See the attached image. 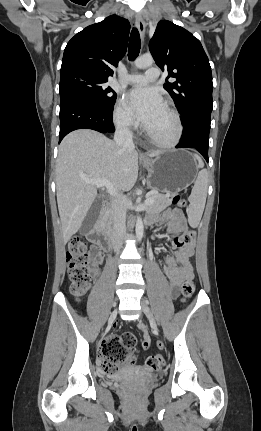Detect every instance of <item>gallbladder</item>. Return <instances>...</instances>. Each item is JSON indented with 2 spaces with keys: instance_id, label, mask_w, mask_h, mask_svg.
<instances>
[{
  "instance_id": "gallbladder-1",
  "label": "gallbladder",
  "mask_w": 261,
  "mask_h": 431,
  "mask_svg": "<svg viewBox=\"0 0 261 431\" xmlns=\"http://www.w3.org/2000/svg\"><path fill=\"white\" fill-rule=\"evenodd\" d=\"M100 209H101V200L100 198H96L92 206L90 207L89 211L87 212L82 222V225L80 227V232L82 234H87L92 230V228L94 227L98 219Z\"/></svg>"
}]
</instances>
